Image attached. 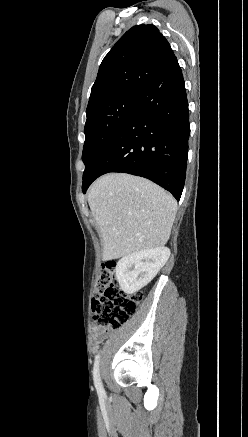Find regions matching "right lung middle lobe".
<instances>
[{
    "mask_svg": "<svg viewBox=\"0 0 248 437\" xmlns=\"http://www.w3.org/2000/svg\"><path fill=\"white\" fill-rule=\"evenodd\" d=\"M138 94L135 92L122 94L87 114L82 153V160L85 164L83 178L88 174L101 149L130 113Z\"/></svg>",
    "mask_w": 248,
    "mask_h": 437,
    "instance_id": "dd1d6c3e",
    "label": "right lung middle lobe"
}]
</instances>
